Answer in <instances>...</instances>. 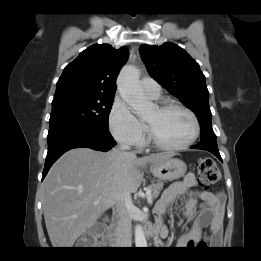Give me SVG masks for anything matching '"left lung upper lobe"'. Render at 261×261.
<instances>
[{
    "label": "left lung upper lobe",
    "mask_w": 261,
    "mask_h": 261,
    "mask_svg": "<svg viewBox=\"0 0 261 261\" xmlns=\"http://www.w3.org/2000/svg\"><path fill=\"white\" fill-rule=\"evenodd\" d=\"M139 52L150 76L196 114L201 126L200 139H216L209 92L199 64L173 43L141 45Z\"/></svg>",
    "instance_id": "left-lung-upper-lobe-1"
}]
</instances>
